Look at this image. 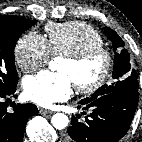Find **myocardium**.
<instances>
[{"mask_svg":"<svg viewBox=\"0 0 142 142\" xmlns=\"http://www.w3.org/2000/svg\"><path fill=\"white\" fill-rule=\"evenodd\" d=\"M96 57H100L103 61L102 71L96 79L89 83H75V88L80 93H93L107 82L113 68L112 53L104 46H97L85 49L77 54L65 55V59L76 66L82 65Z\"/></svg>","mask_w":142,"mask_h":142,"instance_id":"obj_1","label":"myocardium"}]
</instances>
